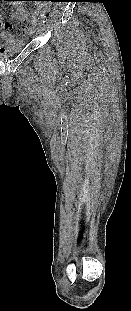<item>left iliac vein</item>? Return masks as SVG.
<instances>
[{
    "label": "left iliac vein",
    "instance_id": "1",
    "mask_svg": "<svg viewBox=\"0 0 131 311\" xmlns=\"http://www.w3.org/2000/svg\"><path fill=\"white\" fill-rule=\"evenodd\" d=\"M43 29H44V25L40 24L39 31H42Z\"/></svg>",
    "mask_w": 131,
    "mask_h": 311
}]
</instances>
